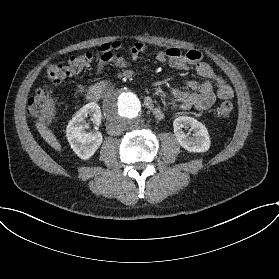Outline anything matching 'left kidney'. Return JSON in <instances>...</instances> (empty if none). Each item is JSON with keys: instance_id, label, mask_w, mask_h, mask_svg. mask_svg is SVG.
Masks as SVG:
<instances>
[{"instance_id": "1", "label": "left kidney", "mask_w": 279, "mask_h": 279, "mask_svg": "<svg viewBox=\"0 0 279 279\" xmlns=\"http://www.w3.org/2000/svg\"><path fill=\"white\" fill-rule=\"evenodd\" d=\"M190 128L192 136L183 131ZM174 134L184 149L189 152H206L210 148V136L204 124L193 117L179 116L173 121Z\"/></svg>"}]
</instances>
